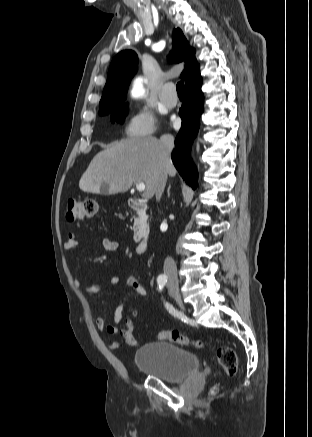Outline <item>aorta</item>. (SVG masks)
Returning a JSON list of instances; mask_svg holds the SVG:
<instances>
[{"mask_svg": "<svg viewBox=\"0 0 312 437\" xmlns=\"http://www.w3.org/2000/svg\"><path fill=\"white\" fill-rule=\"evenodd\" d=\"M143 93H144V88H143V85L141 83V80L139 79L136 81V83L134 85V88L132 90V94H133V96L137 97V96L142 95Z\"/></svg>", "mask_w": 312, "mask_h": 437, "instance_id": "aorta-1", "label": "aorta"}]
</instances>
